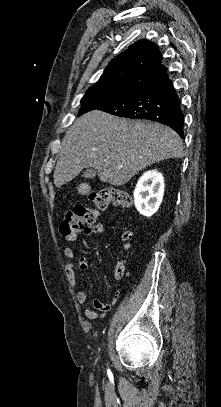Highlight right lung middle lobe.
<instances>
[{
  "label": "right lung middle lobe",
  "instance_id": "right-lung-middle-lobe-1",
  "mask_svg": "<svg viewBox=\"0 0 221 407\" xmlns=\"http://www.w3.org/2000/svg\"><path fill=\"white\" fill-rule=\"evenodd\" d=\"M138 87L140 86H137V84H135L130 87L122 89L103 88V87L89 88L81 100L82 113L106 106L124 97L125 95L129 94Z\"/></svg>",
  "mask_w": 221,
  "mask_h": 407
}]
</instances>
